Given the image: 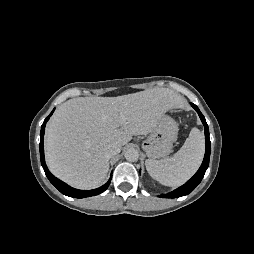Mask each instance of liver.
Listing matches in <instances>:
<instances>
[{
    "label": "liver",
    "instance_id": "6515ba94",
    "mask_svg": "<svg viewBox=\"0 0 254 254\" xmlns=\"http://www.w3.org/2000/svg\"><path fill=\"white\" fill-rule=\"evenodd\" d=\"M182 104L168 88L117 97H79L60 105L46 128L45 156L50 171L78 189L102 184L109 170L110 144H127L151 133L168 110ZM121 115L125 120L121 123Z\"/></svg>",
    "mask_w": 254,
    "mask_h": 254
}]
</instances>
